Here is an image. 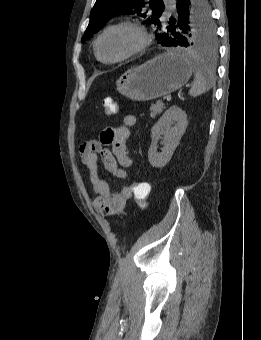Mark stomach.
Here are the masks:
<instances>
[{
    "label": "stomach",
    "mask_w": 261,
    "mask_h": 340,
    "mask_svg": "<svg viewBox=\"0 0 261 340\" xmlns=\"http://www.w3.org/2000/svg\"><path fill=\"white\" fill-rule=\"evenodd\" d=\"M192 73L187 57L167 52L123 73L117 91L133 101H149L180 89Z\"/></svg>",
    "instance_id": "obj_1"
}]
</instances>
